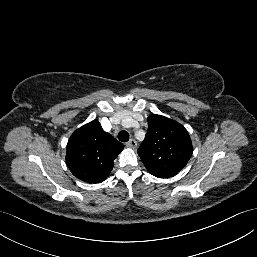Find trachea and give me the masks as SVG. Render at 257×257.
I'll use <instances>...</instances> for the list:
<instances>
[{
  "label": "trachea",
  "mask_w": 257,
  "mask_h": 257,
  "mask_svg": "<svg viewBox=\"0 0 257 257\" xmlns=\"http://www.w3.org/2000/svg\"><path fill=\"white\" fill-rule=\"evenodd\" d=\"M118 139L121 141V142H127L129 140V134L127 131L125 130H122L118 133Z\"/></svg>",
  "instance_id": "obj_1"
}]
</instances>
